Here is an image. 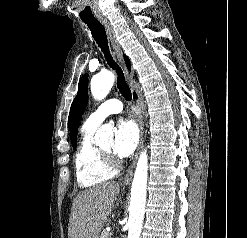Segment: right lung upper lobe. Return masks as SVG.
Returning <instances> with one entry per match:
<instances>
[{
    "label": "right lung upper lobe",
    "instance_id": "cb5924a9",
    "mask_svg": "<svg viewBox=\"0 0 247 238\" xmlns=\"http://www.w3.org/2000/svg\"><path fill=\"white\" fill-rule=\"evenodd\" d=\"M124 59H125L126 65L129 68L130 67V61H129L128 57L124 55Z\"/></svg>",
    "mask_w": 247,
    "mask_h": 238
}]
</instances>
